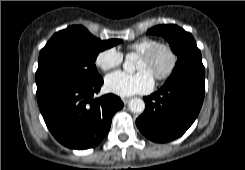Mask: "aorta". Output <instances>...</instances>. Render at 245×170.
Listing matches in <instances>:
<instances>
[{
  "label": "aorta",
  "mask_w": 245,
  "mask_h": 170,
  "mask_svg": "<svg viewBox=\"0 0 245 170\" xmlns=\"http://www.w3.org/2000/svg\"><path fill=\"white\" fill-rule=\"evenodd\" d=\"M135 55L128 54L123 63V68L128 73H133L135 71ZM129 109L134 113H142L145 109V103L140 98H133L128 103Z\"/></svg>",
  "instance_id": "1"
}]
</instances>
